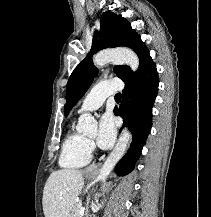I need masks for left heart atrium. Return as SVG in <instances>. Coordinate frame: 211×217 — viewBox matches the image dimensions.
Returning <instances> with one entry per match:
<instances>
[{
	"instance_id": "obj_1",
	"label": "left heart atrium",
	"mask_w": 211,
	"mask_h": 217,
	"mask_svg": "<svg viewBox=\"0 0 211 217\" xmlns=\"http://www.w3.org/2000/svg\"><path fill=\"white\" fill-rule=\"evenodd\" d=\"M116 137V127L110 114L102 116L99 122L97 143L99 147L107 149L112 146Z\"/></svg>"
}]
</instances>
